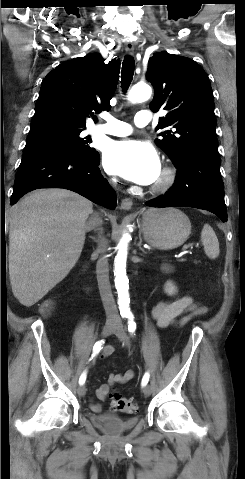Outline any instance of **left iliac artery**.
<instances>
[{
	"mask_svg": "<svg viewBox=\"0 0 245 479\" xmlns=\"http://www.w3.org/2000/svg\"><path fill=\"white\" fill-rule=\"evenodd\" d=\"M126 317L128 318V331L130 334H134L136 330V323L134 322V317L132 314H129ZM149 377H150L149 373L146 372L142 378V382H141L142 386H145L148 383Z\"/></svg>",
	"mask_w": 245,
	"mask_h": 479,
	"instance_id": "left-iliac-artery-1",
	"label": "left iliac artery"
}]
</instances>
